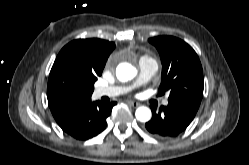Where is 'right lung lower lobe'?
<instances>
[{
    "instance_id": "98d812e1",
    "label": "right lung lower lobe",
    "mask_w": 249,
    "mask_h": 165,
    "mask_svg": "<svg viewBox=\"0 0 249 165\" xmlns=\"http://www.w3.org/2000/svg\"><path fill=\"white\" fill-rule=\"evenodd\" d=\"M115 104L116 102L106 104L89 99L63 106L52 111V114L68 135L77 140H87L105 129L106 119Z\"/></svg>"
}]
</instances>
